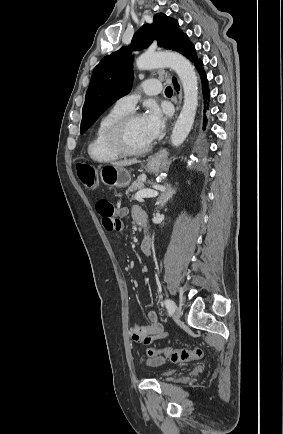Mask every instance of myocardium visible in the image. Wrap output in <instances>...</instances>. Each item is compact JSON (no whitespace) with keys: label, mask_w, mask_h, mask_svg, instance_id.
Returning <instances> with one entry per match:
<instances>
[{"label":"myocardium","mask_w":283,"mask_h":434,"mask_svg":"<svg viewBox=\"0 0 283 434\" xmlns=\"http://www.w3.org/2000/svg\"><path fill=\"white\" fill-rule=\"evenodd\" d=\"M140 118L138 113H127L123 117L116 120L108 129L107 141L109 146L123 156H137L147 153L151 147V142L147 145L134 148L127 140V129L132 121Z\"/></svg>","instance_id":"myocardium-1"}]
</instances>
